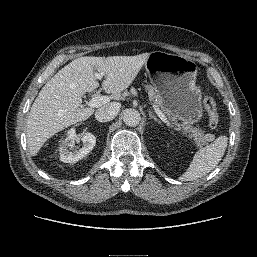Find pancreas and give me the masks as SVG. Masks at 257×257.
Returning a JSON list of instances; mask_svg holds the SVG:
<instances>
[{
	"mask_svg": "<svg viewBox=\"0 0 257 257\" xmlns=\"http://www.w3.org/2000/svg\"><path fill=\"white\" fill-rule=\"evenodd\" d=\"M145 88L148 91L149 97L152 100L153 104L160 108L164 112V114H166L173 121L176 126H179L180 129H182L184 133H189V137L193 138L196 147L201 148L202 146L207 144V137L204 134V131L199 128L192 127L190 124L187 123L178 124L175 117L171 116L170 112L164 106L162 98L156 92L155 88L152 85H146Z\"/></svg>",
	"mask_w": 257,
	"mask_h": 257,
	"instance_id": "pancreas-1",
	"label": "pancreas"
}]
</instances>
